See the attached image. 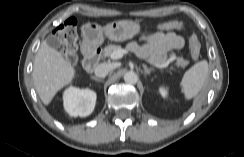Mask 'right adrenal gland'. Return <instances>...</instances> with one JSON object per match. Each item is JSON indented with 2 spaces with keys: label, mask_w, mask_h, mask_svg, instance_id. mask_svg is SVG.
Listing matches in <instances>:
<instances>
[{
  "label": "right adrenal gland",
  "mask_w": 244,
  "mask_h": 157,
  "mask_svg": "<svg viewBox=\"0 0 244 157\" xmlns=\"http://www.w3.org/2000/svg\"><path fill=\"white\" fill-rule=\"evenodd\" d=\"M91 79L97 81V82H101L102 79L98 78V77H95V76H92Z\"/></svg>",
  "instance_id": "1"
}]
</instances>
